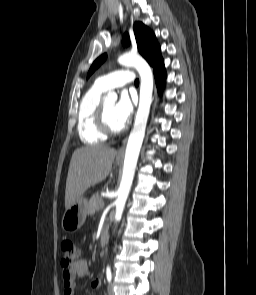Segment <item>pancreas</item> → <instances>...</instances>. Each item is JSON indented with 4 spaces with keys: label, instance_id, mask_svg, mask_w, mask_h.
Returning a JSON list of instances; mask_svg holds the SVG:
<instances>
[{
    "label": "pancreas",
    "instance_id": "pancreas-1",
    "mask_svg": "<svg viewBox=\"0 0 256 295\" xmlns=\"http://www.w3.org/2000/svg\"><path fill=\"white\" fill-rule=\"evenodd\" d=\"M104 206L102 198L98 194H94L88 203V214H94L97 210L102 209Z\"/></svg>",
    "mask_w": 256,
    "mask_h": 295
}]
</instances>
